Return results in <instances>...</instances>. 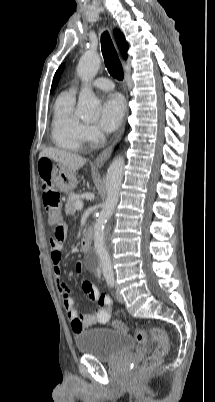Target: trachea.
<instances>
[{"label":"trachea","instance_id":"trachea-1","mask_svg":"<svg viewBox=\"0 0 215 402\" xmlns=\"http://www.w3.org/2000/svg\"><path fill=\"white\" fill-rule=\"evenodd\" d=\"M101 48L108 72L114 78L122 80L124 77L122 65L113 45L112 39L107 31L101 36Z\"/></svg>","mask_w":215,"mask_h":402}]
</instances>
